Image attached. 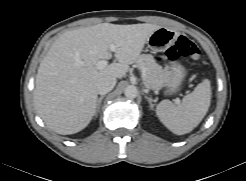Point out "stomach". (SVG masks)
<instances>
[{"label": "stomach", "mask_w": 246, "mask_h": 181, "mask_svg": "<svg viewBox=\"0 0 246 181\" xmlns=\"http://www.w3.org/2000/svg\"><path fill=\"white\" fill-rule=\"evenodd\" d=\"M179 34L170 28L160 27L147 40L148 47L155 51H163L172 45L178 38ZM169 76L159 88H164L166 94H175L181 90L185 77L187 76L186 68L180 63L174 62L169 67Z\"/></svg>", "instance_id": "obj_1"}]
</instances>
